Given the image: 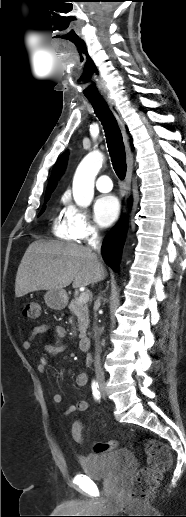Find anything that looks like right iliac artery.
<instances>
[{"instance_id":"right-iliac-artery-1","label":"right iliac artery","mask_w":186,"mask_h":517,"mask_svg":"<svg viewBox=\"0 0 186 517\" xmlns=\"http://www.w3.org/2000/svg\"><path fill=\"white\" fill-rule=\"evenodd\" d=\"M92 394L96 400H100V391H99V385L96 381L92 382Z\"/></svg>"}]
</instances>
